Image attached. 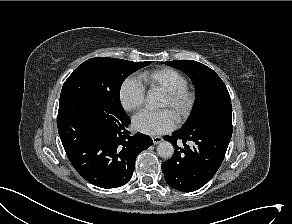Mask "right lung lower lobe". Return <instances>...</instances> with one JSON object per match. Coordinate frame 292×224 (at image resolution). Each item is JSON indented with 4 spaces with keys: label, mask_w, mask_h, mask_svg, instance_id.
<instances>
[{
    "label": "right lung lower lobe",
    "mask_w": 292,
    "mask_h": 224,
    "mask_svg": "<svg viewBox=\"0 0 292 224\" xmlns=\"http://www.w3.org/2000/svg\"><path fill=\"white\" fill-rule=\"evenodd\" d=\"M126 113H111L87 100H60L58 132L70 162L88 182L117 188L132 177L137 155L153 144L142 133L131 135Z\"/></svg>",
    "instance_id": "98d812e1"
}]
</instances>
